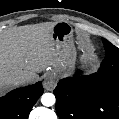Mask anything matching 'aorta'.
I'll return each instance as SVG.
<instances>
[{
  "label": "aorta",
  "instance_id": "aorta-1",
  "mask_svg": "<svg viewBox=\"0 0 119 119\" xmlns=\"http://www.w3.org/2000/svg\"><path fill=\"white\" fill-rule=\"evenodd\" d=\"M44 106L50 107L55 104V96L52 93H44L41 97Z\"/></svg>",
  "mask_w": 119,
  "mask_h": 119
}]
</instances>
